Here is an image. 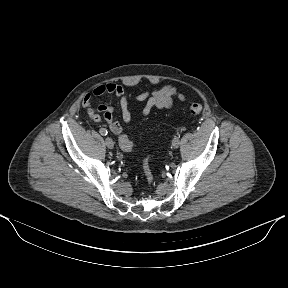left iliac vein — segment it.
<instances>
[{
  "label": "left iliac vein",
  "mask_w": 288,
  "mask_h": 288,
  "mask_svg": "<svg viewBox=\"0 0 288 288\" xmlns=\"http://www.w3.org/2000/svg\"><path fill=\"white\" fill-rule=\"evenodd\" d=\"M179 145H180V140H174V139L172 140V146L174 148H178Z\"/></svg>",
  "instance_id": "1"
}]
</instances>
